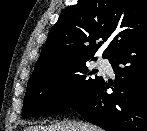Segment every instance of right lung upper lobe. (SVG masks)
<instances>
[{"instance_id":"right-lung-upper-lobe-1","label":"right lung upper lobe","mask_w":147,"mask_h":131,"mask_svg":"<svg viewBox=\"0 0 147 131\" xmlns=\"http://www.w3.org/2000/svg\"><path fill=\"white\" fill-rule=\"evenodd\" d=\"M146 36L147 0H78L52 27L32 76L91 59L108 39L107 59Z\"/></svg>"}]
</instances>
